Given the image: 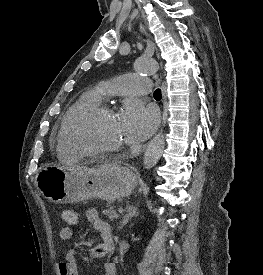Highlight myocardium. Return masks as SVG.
<instances>
[{
	"label": "myocardium",
	"instance_id": "1",
	"mask_svg": "<svg viewBox=\"0 0 263 275\" xmlns=\"http://www.w3.org/2000/svg\"><path fill=\"white\" fill-rule=\"evenodd\" d=\"M105 114H115V111L105 105V104H97L83 113H81L76 120L74 121L70 131L66 135V139L71 144V146L78 151L83 156H105V155H114L123 150V146H115L111 148H89L82 145L76 138L77 132L80 128L88 123L89 121Z\"/></svg>",
	"mask_w": 263,
	"mask_h": 275
}]
</instances>
